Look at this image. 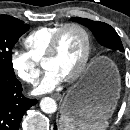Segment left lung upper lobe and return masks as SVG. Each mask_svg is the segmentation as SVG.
I'll return each instance as SVG.
<instances>
[{"instance_id": "5c2ea615", "label": "left lung upper lobe", "mask_w": 130, "mask_h": 130, "mask_svg": "<svg viewBox=\"0 0 130 130\" xmlns=\"http://www.w3.org/2000/svg\"><path fill=\"white\" fill-rule=\"evenodd\" d=\"M70 20L74 22H78L88 27L93 32L97 41L102 46L112 50H118L121 52L124 51L119 35L110 25L103 22L92 21L90 19L80 18V17H73Z\"/></svg>"}]
</instances>
